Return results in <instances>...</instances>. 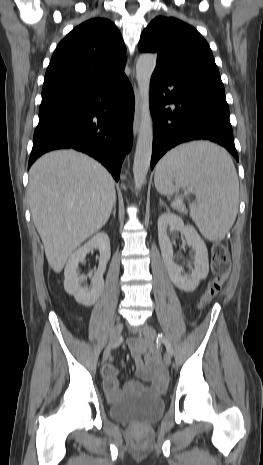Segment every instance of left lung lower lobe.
<instances>
[{"label":"left lung lower lobe","instance_id":"1","mask_svg":"<svg viewBox=\"0 0 263 465\" xmlns=\"http://www.w3.org/2000/svg\"><path fill=\"white\" fill-rule=\"evenodd\" d=\"M171 103L174 110L165 108ZM150 111L154 119L151 169L168 150L192 140L215 142L238 161L223 88L195 76L155 70Z\"/></svg>","mask_w":263,"mask_h":465}]
</instances>
